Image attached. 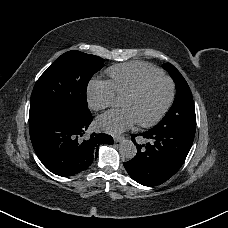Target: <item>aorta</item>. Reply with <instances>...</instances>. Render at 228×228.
<instances>
[{"instance_id":"aorta-1","label":"aorta","mask_w":228,"mask_h":228,"mask_svg":"<svg viewBox=\"0 0 228 228\" xmlns=\"http://www.w3.org/2000/svg\"><path fill=\"white\" fill-rule=\"evenodd\" d=\"M119 153L125 160H131L136 156L137 149L131 140H123L119 145Z\"/></svg>"}]
</instances>
